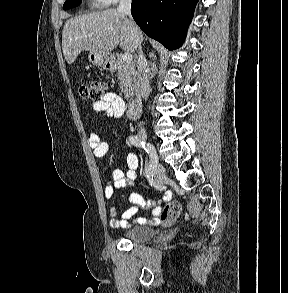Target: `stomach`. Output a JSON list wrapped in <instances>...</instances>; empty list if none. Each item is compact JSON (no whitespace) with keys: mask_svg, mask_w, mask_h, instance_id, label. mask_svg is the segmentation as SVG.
<instances>
[{"mask_svg":"<svg viewBox=\"0 0 288 293\" xmlns=\"http://www.w3.org/2000/svg\"><path fill=\"white\" fill-rule=\"evenodd\" d=\"M89 62L97 67L110 70L112 68V58L110 55H104L97 52H90L88 55Z\"/></svg>","mask_w":288,"mask_h":293,"instance_id":"stomach-1","label":"stomach"}]
</instances>
